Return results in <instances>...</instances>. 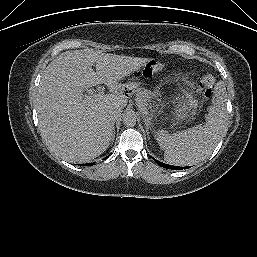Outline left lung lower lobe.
Listing matches in <instances>:
<instances>
[{
    "instance_id": "obj_1",
    "label": "left lung lower lobe",
    "mask_w": 257,
    "mask_h": 257,
    "mask_svg": "<svg viewBox=\"0 0 257 257\" xmlns=\"http://www.w3.org/2000/svg\"><path fill=\"white\" fill-rule=\"evenodd\" d=\"M154 159V158H153ZM154 161L161 167L163 168H167V169H173V170H179V169H183V167H179V166H173V165H168V164H165V163H162L156 159H154ZM189 167H184V169H187Z\"/></svg>"
}]
</instances>
